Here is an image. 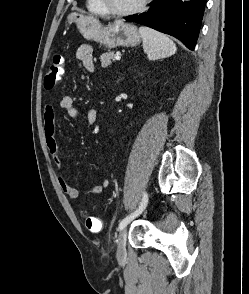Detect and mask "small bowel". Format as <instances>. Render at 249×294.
<instances>
[{
    "mask_svg": "<svg viewBox=\"0 0 249 294\" xmlns=\"http://www.w3.org/2000/svg\"><path fill=\"white\" fill-rule=\"evenodd\" d=\"M76 59L83 63L86 70L90 72L95 70V64L93 61V48L91 45H80L76 51ZM60 107L65 110L67 115L71 118L83 117L88 126L94 125L97 120V113L95 109H79L74 104L73 99L68 95H65L61 98ZM43 128L47 149L54 164L59 169L57 173L59 187L69 199L77 200L80 195L79 190L68 183L61 171L63 162L65 160L71 159L73 155L72 153H63L60 149L56 138L55 112L53 106L50 104H47L44 109ZM94 163L98 165L101 164L99 160H95ZM109 184L110 182L108 179H103L97 184H91L85 192V196L98 195L104 192L109 187Z\"/></svg>",
    "mask_w": 249,
    "mask_h": 294,
    "instance_id": "small-bowel-1",
    "label": "small bowel"
}]
</instances>
